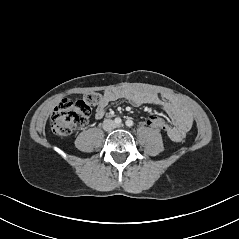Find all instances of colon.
Segmentation results:
<instances>
[{"label": "colon", "mask_w": 239, "mask_h": 239, "mask_svg": "<svg viewBox=\"0 0 239 239\" xmlns=\"http://www.w3.org/2000/svg\"><path fill=\"white\" fill-rule=\"evenodd\" d=\"M101 95L95 92L85 94L77 100L63 99L54 108L51 115V129L59 136H68L76 128L84 126L90 117L91 107L97 105ZM146 122L156 132H166L169 122L162 114L148 112Z\"/></svg>", "instance_id": "obj_1"}]
</instances>
